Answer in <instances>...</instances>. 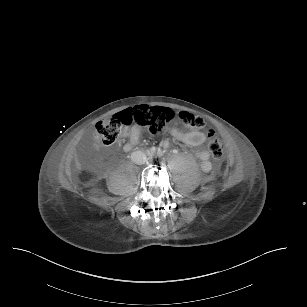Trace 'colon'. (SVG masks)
I'll return each instance as SVG.
<instances>
[{"label": "colon", "instance_id": "1", "mask_svg": "<svg viewBox=\"0 0 307 307\" xmlns=\"http://www.w3.org/2000/svg\"><path fill=\"white\" fill-rule=\"evenodd\" d=\"M176 117L186 127L201 129L205 126V121L201 117L185 110L176 113L166 107L139 106L99 120L94 133L96 147L113 145L123 127L134 122L151 134H160L166 124L171 123ZM206 140L211 156L214 159H222L224 148L220 134L214 129H209L206 132Z\"/></svg>", "mask_w": 307, "mask_h": 307}]
</instances>
